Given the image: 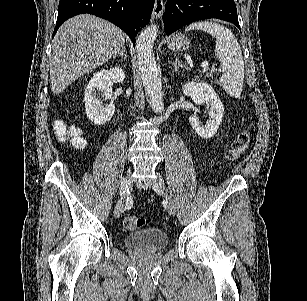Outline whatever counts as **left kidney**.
Segmentation results:
<instances>
[{
  "label": "left kidney",
  "instance_id": "left-kidney-1",
  "mask_svg": "<svg viewBox=\"0 0 307 301\" xmlns=\"http://www.w3.org/2000/svg\"><path fill=\"white\" fill-rule=\"evenodd\" d=\"M183 94L186 96H191L195 104H202L205 102L209 114L205 124L199 122V116L197 114H191L189 116V122L194 128L195 132L202 136V138H211L216 134L221 122L222 116L224 114L223 102H221L218 94H216L213 86L208 84V82H186L182 88Z\"/></svg>",
  "mask_w": 307,
  "mask_h": 301
}]
</instances>
